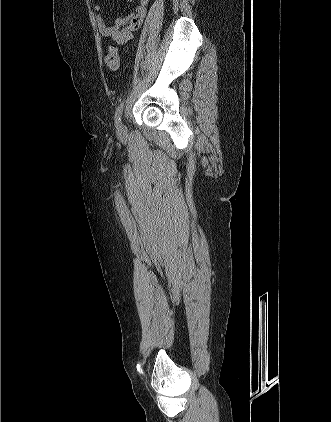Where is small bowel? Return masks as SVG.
<instances>
[{
    "mask_svg": "<svg viewBox=\"0 0 331 422\" xmlns=\"http://www.w3.org/2000/svg\"><path fill=\"white\" fill-rule=\"evenodd\" d=\"M127 1L132 2L134 0ZM137 1L136 8L129 15L116 19L111 25L106 23L101 13L102 5L99 3L95 4L94 9L97 11L95 21L100 34L108 39H112L117 44L127 43L132 38L133 32L140 27L149 3V0Z\"/></svg>",
    "mask_w": 331,
    "mask_h": 422,
    "instance_id": "small-bowel-1",
    "label": "small bowel"
}]
</instances>
